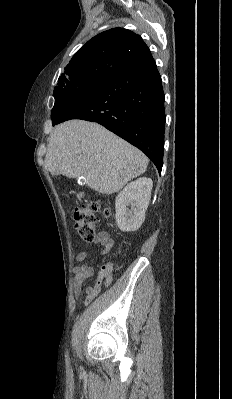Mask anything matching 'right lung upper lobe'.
Returning a JSON list of instances; mask_svg holds the SVG:
<instances>
[{"mask_svg": "<svg viewBox=\"0 0 232 399\" xmlns=\"http://www.w3.org/2000/svg\"><path fill=\"white\" fill-rule=\"evenodd\" d=\"M151 52L142 38L134 32L113 28L90 39L72 57L61 74L54 94L61 92L70 82L85 78H109L127 70L147 58Z\"/></svg>", "mask_w": 232, "mask_h": 399, "instance_id": "cb5924a9", "label": "right lung upper lobe"}]
</instances>
